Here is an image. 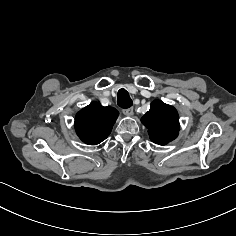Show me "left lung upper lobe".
<instances>
[{"mask_svg": "<svg viewBox=\"0 0 236 236\" xmlns=\"http://www.w3.org/2000/svg\"><path fill=\"white\" fill-rule=\"evenodd\" d=\"M148 129L152 142L165 145L174 140L179 134V117L173 106L154 100L150 110L141 118Z\"/></svg>", "mask_w": 236, "mask_h": 236, "instance_id": "obj_1", "label": "left lung upper lobe"}]
</instances>
